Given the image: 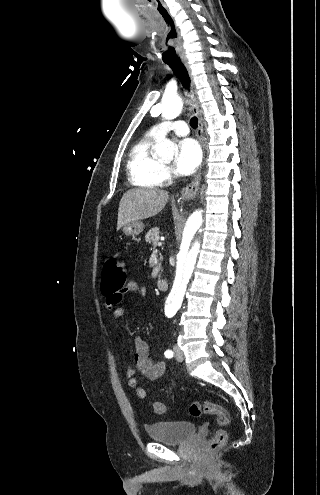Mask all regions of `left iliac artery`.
Returning a JSON list of instances; mask_svg holds the SVG:
<instances>
[{
    "mask_svg": "<svg viewBox=\"0 0 320 495\" xmlns=\"http://www.w3.org/2000/svg\"><path fill=\"white\" fill-rule=\"evenodd\" d=\"M164 355L167 357V358H171L173 357V352L171 350H166Z\"/></svg>",
    "mask_w": 320,
    "mask_h": 495,
    "instance_id": "44dca946",
    "label": "left iliac artery"
}]
</instances>
